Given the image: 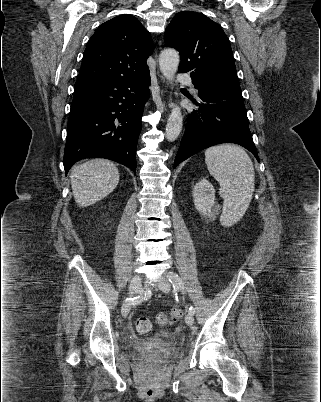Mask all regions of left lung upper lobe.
Wrapping results in <instances>:
<instances>
[{
    "mask_svg": "<svg viewBox=\"0 0 321 402\" xmlns=\"http://www.w3.org/2000/svg\"><path fill=\"white\" fill-rule=\"evenodd\" d=\"M165 44L179 51V73H190L195 88L239 85L230 42L220 25L203 14L177 13L164 33Z\"/></svg>",
    "mask_w": 321,
    "mask_h": 402,
    "instance_id": "5c2ea615",
    "label": "left lung upper lobe"
}]
</instances>
